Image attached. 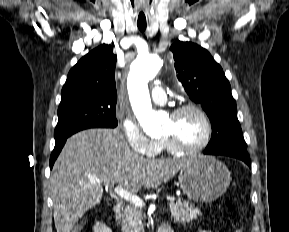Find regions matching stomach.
<instances>
[{
  "mask_svg": "<svg viewBox=\"0 0 289 232\" xmlns=\"http://www.w3.org/2000/svg\"><path fill=\"white\" fill-rule=\"evenodd\" d=\"M231 181L228 168L213 157L187 159L181 167L179 184L188 199L207 203L225 193Z\"/></svg>",
  "mask_w": 289,
  "mask_h": 232,
  "instance_id": "0dacf381",
  "label": "stomach"
}]
</instances>
